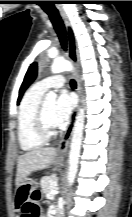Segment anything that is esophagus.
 Returning <instances> with one entry per match:
<instances>
[{"instance_id": "esophagus-1", "label": "esophagus", "mask_w": 132, "mask_h": 217, "mask_svg": "<svg viewBox=\"0 0 132 217\" xmlns=\"http://www.w3.org/2000/svg\"><path fill=\"white\" fill-rule=\"evenodd\" d=\"M62 18H63L65 26H66L69 57H70V60L74 66V75L77 77V93H78V97H79L78 102H80V82H79V78H78L79 55H78V50H77L76 37H75L73 27H72L67 15L62 14ZM78 108H79V103L77 105V109H76L75 113L73 114V116L71 118L70 124H69L67 130L65 131L62 140L59 143L58 153L60 155L66 156L68 153V147H69V143H70V140L72 137L74 123H75Z\"/></svg>"}]
</instances>
